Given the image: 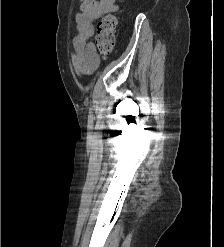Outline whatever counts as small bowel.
Wrapping results in <instances>:
<instances>
[{
	"label": "small bowel",
	"instance_id": "c3829d8e",
	"mask_svg": "<svg viewBox=\"0 0 224 247\" xmlns=\"http://www.w3.org/2000/svg\"><path fill=\"white\" fill-rule=\"evenodd\" d=\"M117 11L115 0H82L81 10L76 14V36L73 40L72 61L78 74H90L98 66L99 59L94 43V22L109 12Z\"/></svg>",
	"mask_w": 224,
	"mask_h": 247
}]
</instances>
